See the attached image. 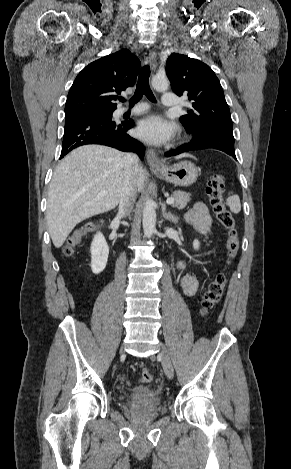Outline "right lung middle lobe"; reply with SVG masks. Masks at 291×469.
<instances>
[{
  "instance_id": "1",
  "label": "right lung middle lobe",
  "mask_w": 291,
  "mask_h": 469,
  "mask_svg": "<svg viewBox=\"0 0 291 469\" xmlns=\"http://www.w3.org/2000/svg\"><path fill=\"white\" fill-rule=\"evenodd\" d=\"M114 110H93V111H89V112H85V113H82V114H86V113H99V114H103V115H107V116H112V113H113ZM81 115V114H79ZM76 116V115H75ZM72 117V116H71ZM65 118H68V117H65Z\"/></svg>"
}]
</instances>
